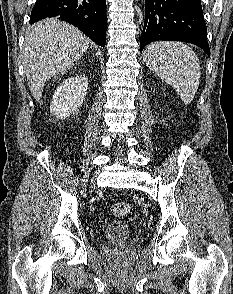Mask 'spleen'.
Returning <instances> with one entry per match:
<instances>
[{"label":"spleen","mask_w":233,"mask_h":294,"mask_svg":"<svg viewBox=\"0 0 233 294\" xmlns=\"http://www.w3.org/2000/svg\"><path fill=\"white\" fill-rule=\"evenodd\" d=\"M144 62L155 75L178 92L184 104L192 102L201 72L199 59L189 46L175 41L151 43L145 49Z\"/></svg>","instance_id":"spleen-1"}]
</instances>
